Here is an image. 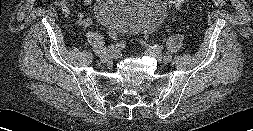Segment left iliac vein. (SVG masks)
<instances>
[{
	"instance_id": "4c4485c4",
	"label": "left iliac vein",
	"mask_w": 253,
	"mask_h": 131,
	"mask_svg": "<svg viewBox=\"0 0 253 131\" xmlns=\"http://www.w3.org/2000/svg\"><path fill=\"white\" fill-rule=\"evenodd\" d=\"M143 43V42H142ZM145 53L153 58H155L157 61H171L172 57L170 55L163 56V54L158 51L157 49L151 47V46H145Z\"/></svg>"
}]
</instances>
